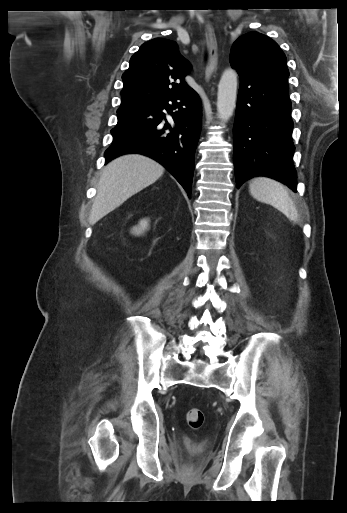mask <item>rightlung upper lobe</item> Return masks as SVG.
<instances>
[{"label": "right lung upper lobe", "instance_id": "cb5924a9", "mask_svg": "<svg viewBox=\"0 0 347 513\" xmlns=\"http://www.w3.org/2000/svg\"><path fill=\"white\" fill-rule=\"evenodd\" d=\"M188 61L179 53L174 41L155 38L141 45L131 57L122 75V111L150 105L192 88L184 81ZM178 79V83L170 82Z\"/></svg>", "mask_w": 347, "mask_h": 513}]
</instances>
